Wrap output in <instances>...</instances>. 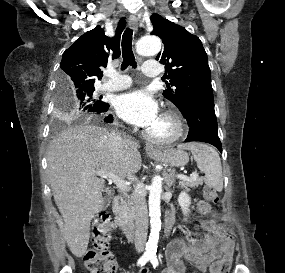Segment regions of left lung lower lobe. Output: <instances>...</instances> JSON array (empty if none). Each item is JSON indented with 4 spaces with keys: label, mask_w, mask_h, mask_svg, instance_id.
<instances>
[{
    "label": "left lung lower lobe",
    "mask_w": 285,
    "mask_h": 273,
    "mask_svg": "<svg viewBox=\"0 0 285 273\" xmlns=\"http://www.w3.org/2000/svg\"><path fill=\"white\" fill-rule=\"evenodd\" d=\"M190 127L185 142L201 141L214 145L222 152L214 103H199L181 109Z\"/></svg>",
    "instance_id": "0a47b994"
}]
</instances>
